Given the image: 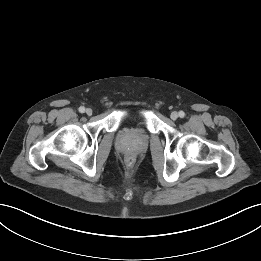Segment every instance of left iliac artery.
I'll return each instance as SVG.
<instances>
[{"mask_svg":"<svg viewBox=\"0 0 261 261\" xmlns=\"http://www.w3.org/2000/svg\"><path fill=\"white\" fill-rule=\"evenodd\" d=\"M184 116H185V113H184L183 111H180V112H179V117H180V118H184Z\"/></svg>","mask_w":261,"mask_h":261,"instance_id":"obj_1","label":"left iliac artery"}]
</instances>
